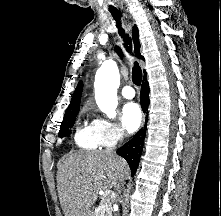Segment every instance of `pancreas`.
Wrapping results in <instances>:
<instances>
[{"label":"pancreas","instance_id":"1","mask_svg":"<svg viewBox=\"0 0 221 216\" xmlns=\"http://www.w3.org/2000/svg\"><path fill=\"white\" fill-rule=\"evenodd\" d=\"M93 216H112L111 205L108 202V199H102L101 207L95 210Z\"/></svg>","mask_w":221,"mask_h":216}]
</instances>
